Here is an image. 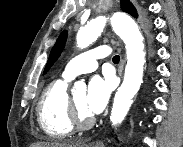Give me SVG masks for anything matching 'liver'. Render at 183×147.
I'll list each match as a JSON object with an SVG mask.
<instances>
[{
    "instance_id": "6515ba94",
    "label": "liver",
    "mask_w": 183,
    "mask_h": 147,
    "mask_svg": "<svg viewBox=\"0 0 183 147\" xmlns=\"http://www.w3.org/2000/svg\"><path fill=\"white\" fill-rule=\"evenodd\" d=\"M30 147H86L82 142H36Z\"/></svg>"
}]
</instances>
